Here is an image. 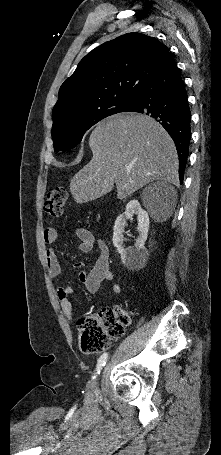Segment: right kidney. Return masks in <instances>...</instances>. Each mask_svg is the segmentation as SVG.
I'll return each mask as SVG.
<instances>
[{
  "label": "right kidney",
  "instance_id": "ca27d5eb",
  "mask_svg": "<svg viewBox=\"0 0 221 455\" xmlns=\"http://www.w3.org/2000/svg\"><path fill=\"white\" fill-rule=\"evenodd\" d=\"M137 215L138 220V238L134 246L127 248L123 247V232L127 220H132L133 215ZM149 229V216L148 213L141 207L138 200H130L126 205V210L123 214L119 215L115 221L113 232V244L118 253L121 255L122 263L128 268H136L142 265L147 257L148 251L144 244L147 239Z\"/></svg>",
  "mask_w": 221,
  "mask_h": 455
}]
</instances>
